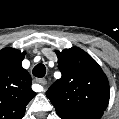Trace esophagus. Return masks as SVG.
<instances>
[{
    "mask_svg": "<svg viewBox=\"0 0 119 119\" xmlns=\"http://www.w3.org/2000/svg\"><path fill=\"white\" fill-rule=\"evenodd\" d=\"M34 83L45 84L46 80L44 78H35L33 79Z\"/></svg>",
    "mask_w": 119,
    "mask_h": 119,
    "instance_id": "1",
    "label": "esophagus"
}]
</instances>
